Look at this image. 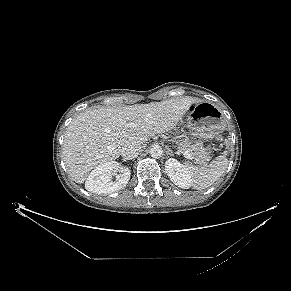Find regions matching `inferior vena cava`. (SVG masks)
<instances>
[{"label":"inferior vena cava","instance_id":"obj_1","mask_svg":"<svg viewBox=\"0 0 291 291\" xmlns=\"http://www.w3.org/2000/svg\"><path fill=\"white\" fill-rule=\"evenodd\" d=\"M141 152V146L137 144H126L121 149V155L126 160L136 158Z\"/></svg>","mask_w":291,"mask_h":291}]
</instances>
